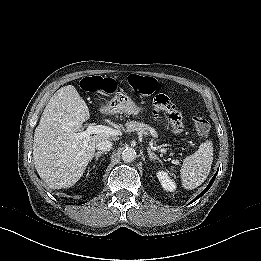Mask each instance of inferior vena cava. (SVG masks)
<instances>
[{
  "mask_svg": "<svg viewBox=\"0 0 261 261\" xmlns=\"http://www.w3.org/2000/svg\"><path fill=\"white\" fill-rule=\"evenodd\" d=\"M112 148V142L107 139H101L96 143V149L99 151H110Z\"/></svg>",
  "mask_w": 261,
  "mask_h": 261,
  "instance_id": "602c4592",
  "label": "inferior vena cava"
}]
</instances>
